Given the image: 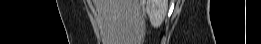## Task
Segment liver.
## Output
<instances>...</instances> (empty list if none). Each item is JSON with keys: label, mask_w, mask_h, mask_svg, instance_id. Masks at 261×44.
Here are the masks:
<instances>
[{"label": "liver", "mask_w": 261, "mask_h": 44, "mask_svg": "<svg viewBox=\"0 0 261 44\" xmlns=\"http://www.w3.org/2000/svg\"><path fill=\"white\" fill-rule=\"evenodd\" d=\"M103 19L104 44H139L144 21L139 0H94Z\"/></svg>", "instance_id": "6515ba94"}]
</instances>
